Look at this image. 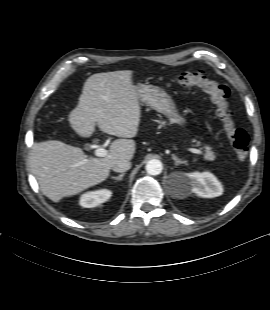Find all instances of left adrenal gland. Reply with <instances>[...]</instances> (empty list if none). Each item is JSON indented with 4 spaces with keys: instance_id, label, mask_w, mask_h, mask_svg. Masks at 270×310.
I'll use <instances>...</instances> for the list:
<instances>
[{
    "instance_id": "1",
    "label": "left adrenal gland",
    "mask_w": 270,
    "mask_h": 310,
    "mask_svg": "<svg viewBox=\"0 0 270 310\" xmlns=\"http://www.w3.org/2000/svg\"><path fill=\"white\" fill-rule=\"evenodd\" d=\"M172 159L175 161V165L186 164V161L179 159L176 155L172 154Z\"/></svg>"
}]
</instances>
